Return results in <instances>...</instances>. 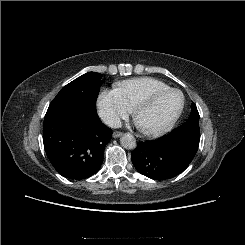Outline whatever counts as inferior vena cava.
<instances>
[{
    "label": "inferior vena cava",
    "instance_id": "602c4592",
    "mask_svg": "<svg viewBox=\"0 0 245 245\" xmlns=\"http://www.w3.org/2000/svg\"><path fill=\"white\" fill-rule=\"evenodd\" d=\"M104 123L111 128H120L122 126L120 118L113 115L105 117Z\"/></svg>",
    "mask_w": 245,
    "mask_h": 245
}]
</instances>
